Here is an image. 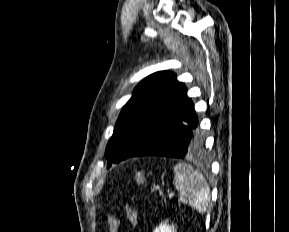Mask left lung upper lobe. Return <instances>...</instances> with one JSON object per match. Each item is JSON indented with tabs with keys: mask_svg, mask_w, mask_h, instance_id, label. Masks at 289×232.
<instances>
[{
	"mask_svg": "<svg viewBox=\"0 0 289 232\" xmlns=\"http://www.w3.org/2000/svg\"><path fill=\"white\" fill-rule=\"evenodd\" d=\"M184 91V84L170 71L156 72L139 83L119 115L106 158L117 163L142 147L173 119L188 98Z\"/></svg>",
	"mask_w": 289,
	"mask_h": 232,
	"instance_id": "5c2ea615",
	"label": "left lung upper lobe"
}]
</instances>
